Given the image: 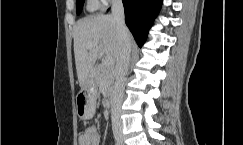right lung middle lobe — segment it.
Masks as SVG:
<instances>
[{
    "label": "right lung middle lobe",
    "mask_w": 243,
    "mask_h": 145,
    "mask_svg": "<svg viewBox=\"0 0 243 145\" xmlns=\"http://www.w3.org/2000/svg\"><path fill=\"white\" fill-rule=\"evenodd\" d=\"M84 1L85 0H77L76 1V12H77V14H80L82 7H83V4H84Z\"/></svg>",
    "instance_id": "right-lung-middle-lobe-1"
}]
</instances>
